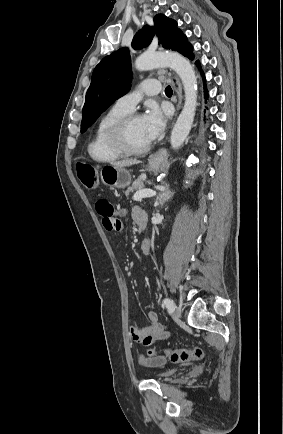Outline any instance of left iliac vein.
Instances as JSON below:
<instances>
[{
  "mask_svg": "<svg viewBox=\"0 0 283 434\" xmlns=\"http://www.w3.org/2000/svg\"><path fill=\"white\" fill-rule=\"evenodd\" d=\"M181 315H182L181 308L180 307H175V309H174V311L172 313L173 319L178 320V319H180Z\"/></svg>",
  "mask_w": 283,
  "mask_h": 434,
  "instance_id": "obj_1",
  "label": "left iliac vein"
}]
</instances>
